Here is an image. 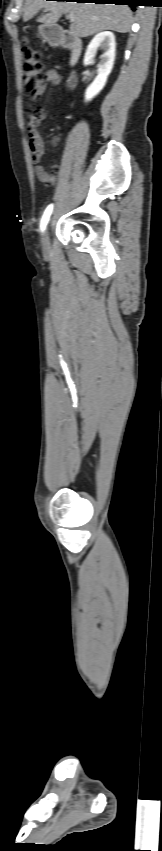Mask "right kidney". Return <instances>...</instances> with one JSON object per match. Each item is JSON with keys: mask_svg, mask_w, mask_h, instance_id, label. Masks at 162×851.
I'll use <instances>...</instances> for the list:
<instances>
[{"mask_svg": "<svg viewBox=\"0 0 162 851\" xmlns=\"http://www.w3.org/2000/svg\"><path fill=\"white\" fill-rule=\"evenodd\" d=\"M98 49L104 50V53L101 56L102 60L98 66V75L86 89L85 102L90 101L103 89L112 71L116 50L115 36L112 32H100L91 40L84 56L85 66L90 64Z\"/></svg>", "mask_w": 162, "mask_h": 851, "instance_id": "right-kidney-1", "label": "right kidney"}]
</instances>
